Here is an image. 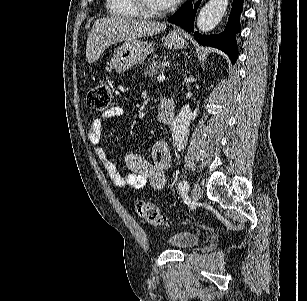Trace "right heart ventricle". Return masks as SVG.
Segmentation results:
<instances>
[{
    "label": "right heart ventricle",
    "mask_w": 307,
    "mask_h": 301,
    "mask_svg": "<svg viewBox=\"0 0 307 301\" xmlns=\"http://www.w3.org/2000/svg\"><path fill=\"white\" fill-rule=\"evenodd\" d=\"M106 17H141V10H135L132 1L136 0H106Z\"/></svg>",
    "instance_id": "right-heart-ventricle-1"
}]
</instances>
